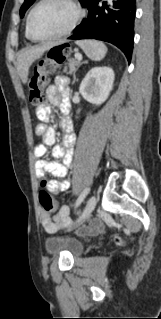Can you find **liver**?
Wrapping results in <instances>:
<instances>
[{"label":"liver","instance_id":"liver-1","mask_svg":"<svg viewBox=\"0 0 161 319\" xmlns=\"http://www.w3.org/2000/svg\"><path fill=\"white\" fill-rule=\"evenodd\" d=\"M52 44L47 43L43 45H39L36 47H29L22 49L17 56V70L19 76L24 84H26L28 80L29 68L32 63L40 58L45 51L50 49Z\"/></svg>","mask_w":161,"mask_h":319}]
</instances>
